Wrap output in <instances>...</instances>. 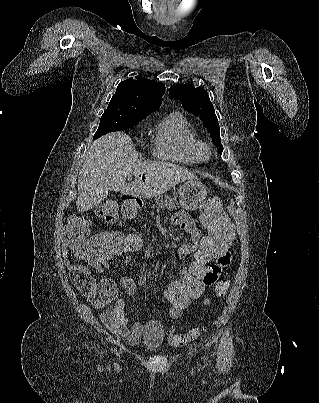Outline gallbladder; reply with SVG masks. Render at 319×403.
<instances>
[{"mask_svg":"<svg viewBox=\"0 0 319 403\" xmlns=\"http://www.w3.org/2000/svg\"><path fill=\"white\" fill-rule=\"evenodd\" d=\"M106 208L108 209V210H112V211H117L118 210V204L116 203V202H112V201H109L107 204H106Z\"/></svg>","mask_w":319,"mask_h":403,"instance_id":"gallbladder-1","label":"gallbladder"}]
</instances>
